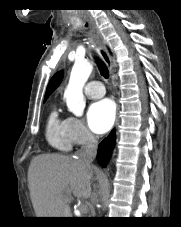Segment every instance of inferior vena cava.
<instances>
[{
	"label": "inferior vena cava",
	"mask_w": 181,
	"mask_h": 227,
	"mask_svg": "<svg viewBox=\"0 0 181 227\" xmlns=\"http://www.w3.org/2000/svg\"><path fill=\"white\" fill-rule=\"evenodd\" d=\"M98 140L91 133L88 132L86 142L77 151L76 155L87 166H90L97 154Z\"/></svg>",
	"instance_id": "1"
}]
</instances>
